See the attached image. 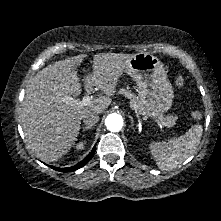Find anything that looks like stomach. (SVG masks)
<instances>
[{
    "instance_id": "1",
    "label": "stomach",
    "mask_w": 221,
    "mask_h": 221,
    "mask_svg": "<svg viewBox=\"0 0 221 221\" xmlns=\"http://www.w3.org/2000/svg\"><path fill=\"white\" fill-rule=\"evenodd\" d=\"M126 72L136 82L140 102L153 115L162 116L171 108L173 87L157 57L149 53H137L128 61Z\"/></svg>"
}]
</instances>
